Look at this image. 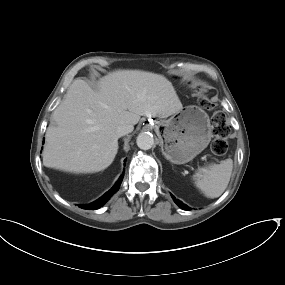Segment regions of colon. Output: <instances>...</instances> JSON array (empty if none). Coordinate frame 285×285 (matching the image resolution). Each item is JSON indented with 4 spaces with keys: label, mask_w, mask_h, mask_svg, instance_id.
<instances>
[{
    "label": "colon",
    "mask_w": 285,
    "mask_h": 285,
    "mask_svg": "<svg viewBox=\"0 0 285 285\" xmlns=\"http://www.w3.org/2000/svg\"><path fill=\"white\" fill-rule=\"evenodd\" d=\"M199 105L206 110L215 109V104H213L207 96H202L199 99ZM212 124L215 132V138L211 144L212 152L215 154H223L227 150L226 135L228 133L224 115L219 111H215L212 116Z\"/></svg>",
    "instance_id": "5ec220e1"
}]
</instances>
